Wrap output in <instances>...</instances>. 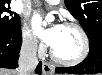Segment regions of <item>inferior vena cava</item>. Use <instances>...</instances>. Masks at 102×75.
<instances>
[{
	"instance_id": "602c4592",
	"label": "inferior vena cava",
	"mask_w": 102,
	"mask_h": 75,
	"mask_svg": "<svg viewBox=\"0 0 102 75\" xmlns=\"http://www.w3.org/2000/svg\"><path fill=\"white\" fill-rule=\"evenodd\" d=\"M18 65L20 75H32L33 70L38 65L37 41L33 38H26L23 41Z\"/></svg>"
}]
</instances>
